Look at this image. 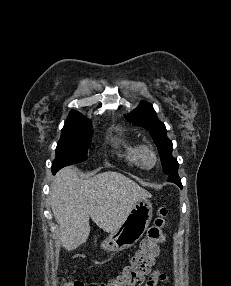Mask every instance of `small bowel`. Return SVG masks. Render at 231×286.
<instances>
[{
    "label": "small bowel",
    "instance_id": "small-bowel-1",
    "mask_svg": "<svg viewBox=\"0 0 231 286\" xmlns=\"http://www.w3.org/2000/svg\"><path fill=\"white\" fill-rule=\"evenodd\" d=\"M166 276L159 270H154L148 277L144 286H157L160 282H165Z\"/></svg>",
    "mask_w": 231,
    "mask_h": 286
}]
</instances>
